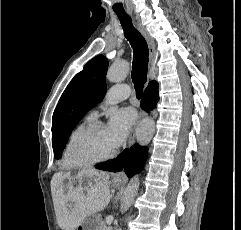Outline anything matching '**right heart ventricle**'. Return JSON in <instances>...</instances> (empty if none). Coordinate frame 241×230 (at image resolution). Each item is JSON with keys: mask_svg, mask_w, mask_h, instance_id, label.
Returning a JSON list of instances; mask_svg holds the SVG:
<instances>
[{"mask_svg": "<svg viewBox=\"0 0 241 230\" xmlns=\"http://www.w3.org/2000/svg\"><path fill=\"white\" fill-rule=\"evenodd\" d=\"M92 121V116L86 117L83 121L77 124L72 131L69 133L68 138L65 142L63 151H62V166L65 169H73L80 167L72 158L71 148L73 141L77 134L89 123Z\"/></svg>", "mask_w": 241, "mask_h": 230, "instance_id": "obj_1", "label": "right heart ventricle"}]
</instances>
